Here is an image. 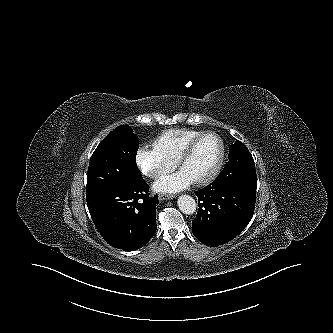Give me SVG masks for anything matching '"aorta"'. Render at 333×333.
<instances>
[{
	"label": "aorta",
	"instance_id": "obj_1",
	"mask_svg": "<svg viewBox=\"0 0 333 333\" xmlns=\"http://www.w3.org/2000/svg\"><path fill=\"white\" fill-rule=\"evenodd\" d=\"M177 203L180 211L184 214L190 215L196 211V202L190 195H181Z\"/></svg>",
	"mask_w": 333,
	"mask_h": 333
}]
</instances>
